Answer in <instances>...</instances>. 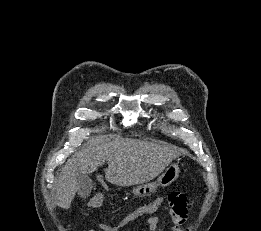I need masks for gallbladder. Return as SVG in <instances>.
Instances as JSON below:
<instances>
[{
	"mask_svg": "<svg viewBox=\"0 0 261 231\" xmlns=\"http://www.w3.org/2000/svg\"><path fill=\"white\" fill-rule=\"evenodd\" d=\"M77 180L79 186V195L81 197L89 195L93 187L92 179L88 175L78 174Z\"/></svg>",
	"mask_w": 261,
	"mask_h": 231,
	"instance_id": "gallbladder-1",
	"label": "gallbladder"
}]
</instances>
